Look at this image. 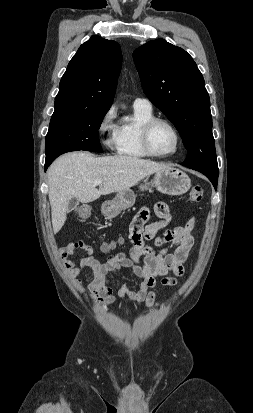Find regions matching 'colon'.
Instances as JSON below:
<instances>
[{
  "instance_id": "colon-1",
  "label": "colon",
  "mask_w": 253,
  "mask_h": 413,
  "mask_svg": "<svg viewBox=\"0 0 253 413\" xmlns=\"http://www.w3.org/2000/svg\"><path fill=\"white\" fill-rule=\"evenodd\" d=\"M203 198V188L199 185L193 186L189 192V199L192 202H199ZM91 214V207L83 204L76 209V216L80 222H85ZM118 242L112 241L104 243L101 246L102 251L108 252L117 246Z\"/></svg>"
}]
</instances>
